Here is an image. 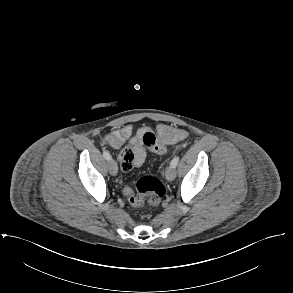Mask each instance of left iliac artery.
<instances>
[{
    "mask_svg": "<svg viewBox=\"0 0 293 293\" xmlns=\"http://www.w3.org/2000/svg\"><path fill=\"white\" fill-rule=\"evenodd\" d=\"M179 159H180L179 156H175V157L172 159L170 165L173 166V167H176L177 164H178V162H179Z\"/></svg>",
    "mask_w": 293,
    "mask_h": 293,
    "instance_id": "left-iliac-artery-1",
    "label": "left iliac artery"
}]
</instances>
